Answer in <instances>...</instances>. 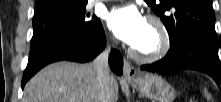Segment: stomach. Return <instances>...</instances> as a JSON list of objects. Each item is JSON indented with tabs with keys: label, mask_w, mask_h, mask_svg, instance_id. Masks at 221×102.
<instances>
[{
	"label": "stomach",
	"mask_w": 221,
	"mask_h": 102,
	"mask_svg": "<svg viewBox=\"0 0 221 102\" xmlns=\"http://www.w3.org/2000/svg\"><path fill=\"white\" fill-rule=\"evenodd\" d=\"M128 82L140 94L157 102H172L176 97L174 88L156 74H145Z\"/></svg>",
	"instance_id": "0dacf381"
}]
</instances>
